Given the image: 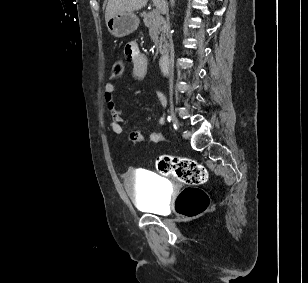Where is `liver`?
Returning a JSON list of instances; mask_svg holds the SVG:
<instances>
[{"label": "liver", "mask_w": 308, "mask_h": 283, "mask_svg": "<svg viewBox=\"0 0 308 283\" xmlns=\"http://www.w3.org/2000/svg\"><path fill=\"white\" fill-rule=\"evenodd\" d=\"M154 5H160L163 11L164 3L166 0H152ZM148 0H108L105 21L107 22L111 17L120 13H132L143 8L147 4Z\"/></svg>", "instance_id": "obj_1"}]
</instances>
